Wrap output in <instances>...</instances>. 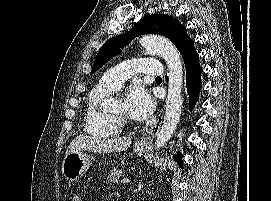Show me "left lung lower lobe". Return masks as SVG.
Listing matches in <instances>:
<instances>
[{"label":"left lung lower lobe","mask_w":271,"mask_h":201,"mask_svg":"<svg viewBox=\"0 0 271 201\" xmlns=\"http://www.w3.org/2000/svg\"><path fill=\"white\" fill-rule=\"evenodd\" d=\"M182 54L186 68V85L189 94V110L192 111L195 103L199 100L201 84L202 67L198 61V53L194 48L193 40L188 41L179 49ZM174 160L183 168L182 155L178 153L173 156Z\"/></svg>","instance_id":"0a47b994"}]
</instances>
